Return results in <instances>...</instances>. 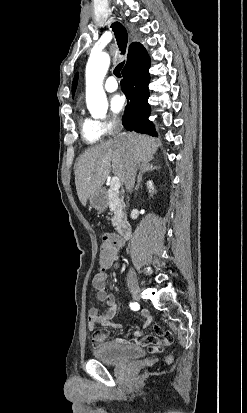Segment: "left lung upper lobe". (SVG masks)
Wrapping results in <instances>:
<instances>
[{
	"label": "left lung upper lobe",
	"instance_id": "5c2ea615",
	"mask_svg": "<svg viewBox=\"0 0 247 413\" xmlns=\"http://www.w3.org/2000/svg\"><path fill=\"white\" fill-rule=\"evenodd\" d=\"M77 81H78V75L76 74V76L73 80V84H72V95H74V93H75L76 86H77Z\"/></svg>",
	"mask_w": 247,
	"mask_h": 413
}]
</instances>
